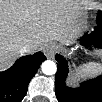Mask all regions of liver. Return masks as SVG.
Segmentation results:
<instances>
[{"label": "liver", "instance_id": "liver-1", "mask_svg": "<svg viewBox=\"0 0 102 102\" xmlns=\"http://www.w3.org/2000/svg\"><path fill=\"white\" fill-rule=\"evenodd\" d=\"M77 13L56 0L6 1L0 7L1 61L11 59L24 46L33 50L60 41L75 24Z\"/></svg>", "mask_w": 102, "mask_h": 102}]
</instances>
